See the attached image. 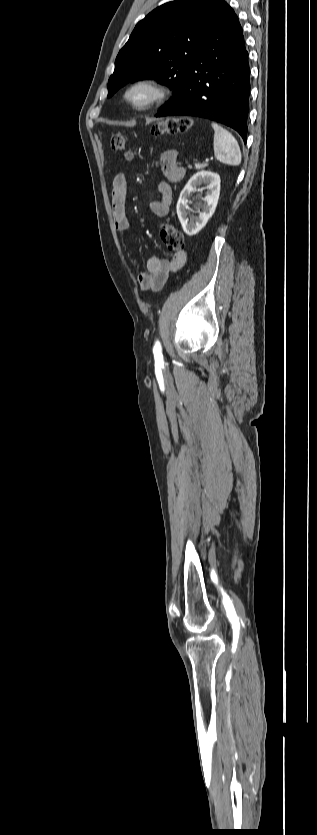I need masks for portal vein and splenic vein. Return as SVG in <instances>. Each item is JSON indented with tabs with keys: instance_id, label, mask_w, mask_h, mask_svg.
Listing matches in <instances>:
<instances>
[{
	"instance_id": "18ae733b",
	"label": "portal vein and splenic vein",
	"mask_w": 317,
	"mask_h": 835,
	"mask_svg": "<svg viewBox=\"0 0 317 835\" xmlns=\"http://www.w3.org/2000/svg\"><path fill=\"white\" fill-rule=\"evenodd\" d=\"M211 159H213V158H209V157L205 158V163H208Z\"/></svg>"
}]
</instances>
